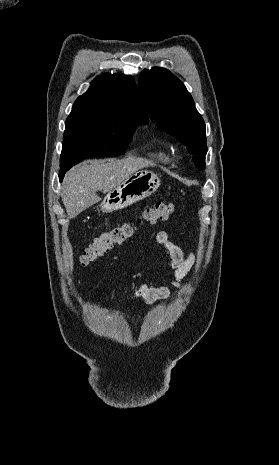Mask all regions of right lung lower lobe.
I'll use <instances>...</instances> for the list:
<instances>
[{"label": "right lung lower lobe", "instance_id": "right-lung-lower-lobe-1", "mask_svg": "<svg viewBox=\"0 0 279 465\" xmlns=\"http://www.w3.org/2000/svg\"><path fill=\"white\" fill-rule=\"evenodd\" d=\"M67 170H69V169H64V170H62L61 173L59 174V179H60V181H62V179H63V177H64V174H65V172H66Z\"/></svg>", "mask_w": 279, "mask_h": 465}]
</instances>
